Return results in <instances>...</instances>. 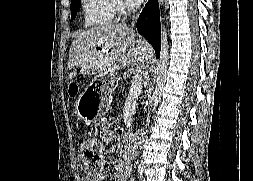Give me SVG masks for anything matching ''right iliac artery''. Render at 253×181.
Segmentation results:
<instances>
[{
	"label": "right iliac artery",
	"instance_id": "82829eb1",
	"mask_svg": "<svg viewBox=\"0 0 253 181\" xmlns=\"http://www.w3.org/2000/svg\"><path fill=\"white\" fill-rule=\"evenodd\" d=\"M138 172H139V174L141 175V174L143 173V168H141V167L139 166Z\"/></svg>",
	"mask_w": 253,
	"mask_h": 181
}]
</instances>
